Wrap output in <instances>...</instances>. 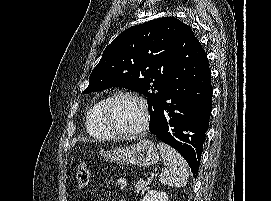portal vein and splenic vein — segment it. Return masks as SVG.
Listing matches in <instances>:
<instances>
[{
  "mask_svg": "<svg viewBox=\"0 0 271 201\" xmlns=\"http://www.w3.org/2000/svg\"><path fill=\"white\" fill-rule=\"evenodd\" d=\"M152 179H153V177H152V176H150V177H148V178H147V181H148V182H151V181H152Z\"/></svg>",
  "mask_w": 271,
  "mask_h": 201,
  "instance_id": "obj_1",
  "label": "portal vein and splenic vein"
}]
</instances>
